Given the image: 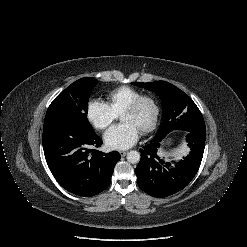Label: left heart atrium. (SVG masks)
Returning <instances> with one entry per match:
<instances>
[{
    "mask_svg": "<svg viewBox=\"0 0 247 247\" xmlns=\"http://www.w3.org/2000/svg\"><path fill=\"white\" fill-rule=\"evenodd\" d=\"M140 135V130L132 123L126 122L109 129L104 140L110 149L124 150L134 145Z\"/></svg>",
    "mask_w": 247,
    "mask_h": 247,
    "instance_id": "39dd6f15",
    "label": "left heart atrium"
}]
</instances>
